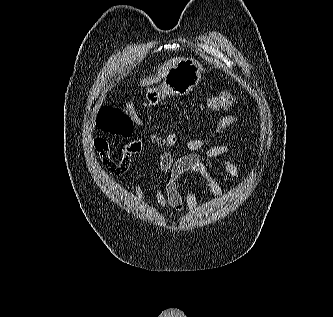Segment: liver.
Here are the masks:
<instances>
[{
  "mask_svg": "<svg viewBox=\"0 0 333 317\" xmlns=\"http://www.w3.org/2000/svg\"><path fill=\"white\" fill-rule=\"evenodd\" d=\"M184 60V58L182 57H174L168 61H166L159 69L158 74L156 79H149L148 81H144L143 84L147 83V84H151L155 81H159L161 78L165 77L167 75V73L169 72V70L174 67L177 63H179L180 61Z\"/></svg>",
  "mask_w": 333,
  "mask_h": 317,
  "instance_id": "obj_1",
  "label": "liver"
}]
</instances>
